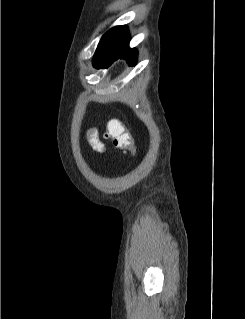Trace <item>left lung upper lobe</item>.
Returning a JSON list of instances; mask_svg holds the SVG:
<instances>
[{"mask_svg": "<svg viewBox=\"0 0 245 319\" xmlns=\"http://www.w3.org/2000/svg\"><path fill=\"white\" fill-rule=\"evenodd\" d=\"M125 30V26H116L107 31L102 36L97 50L100 52L103 50H111L112 48H114Z\"/></svg>", "mask_w": 245, "mask_h": 319, "instance_id": "1", "label": "left lung upper lobe"}]
</instances>
